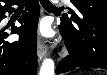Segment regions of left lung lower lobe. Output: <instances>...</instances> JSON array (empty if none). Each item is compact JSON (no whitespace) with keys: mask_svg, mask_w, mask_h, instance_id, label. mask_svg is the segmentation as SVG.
Returning a JSON list of instances; mask_svg holds the SVG:
<instances>
[{"mask_svg":"<svg viewBox=\"0 0 107 75\" xmlns=\"http://www.w3.org/2000/svg\"><path fill=\"white\" fill-rule=\"evenodd\" d=\"M74 6L76 3L71 0ZM80 31L86 41L90 44L91 50L87 54L83 49L86 47L82 42L84 39L68 30L60 24L59 30L65 41L69 55L61 60L56 67V73L71 71L77 67L102 68L107 70V17L99 16L94 18H82Z\"/></svg>","mask_w":107,"mask_h":75,"instance_id":"obj_1","label":"left lung lower lobe"}]
</instances>
